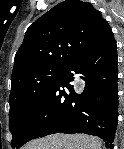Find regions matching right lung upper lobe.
<instances>
[{
    "mask_svg": "<svg viewBox=\"0 0 124 149\" xmlns=\"http://www.w3.org/2000/svg\"><path fill=\"white\" fill-rule=\"evenodd\" d=\"M112 39L108 22L90 3L65 0L38 18L26 31L15 55L11 86L34 70L64 68Z\"/></svg>",
    "mask_w": 124,
    "mask_h": 149,
    "instance_id": "cb5924a9",
    "label": "right lung upper lobe"
}]
</instances>
